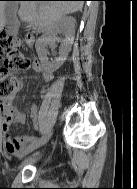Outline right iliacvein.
Instances as JSON below:
<instances>
[{
	"label": "right iliac vein",
	"instance_id": "1",
	"mask_svg": "<svg viewBox=\"0 0 137 189\" xmlns=\"http://www.w3.org/2000/svg\"><path fill=\"white\" fill-rule=\"evenodd\" d=\"M52 135V131H48V133H46L44 135V137H42L41 139H38L37 141L33 142L29 147H27L21 154V157L26 156L27 154H29L30 152L38 149L39 147L45 145L48 140L50 139Z\"/></svg>",
	"mask_w": 137,
	"mask_h": 189
}]
</instances>
